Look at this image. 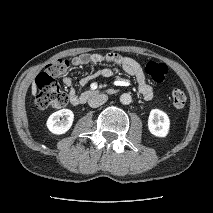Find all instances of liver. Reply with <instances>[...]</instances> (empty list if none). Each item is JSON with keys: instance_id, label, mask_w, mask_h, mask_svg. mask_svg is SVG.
Instances as JSON below:
<instances>
[{"instance_id": "6515ba94", "label": "liver", "mask_w": 213, "mask_h": 213, "mask_svg": "<svg viewBox=\"0 0 213 213\" xmlns=\"http://www.w3.org/2000/svg\"><path fill=\"white\" fill-rule=\"evenodd\" d=\"M36 92H37V87H36V85L33 83V84H32V95L35 96V95H36Z\"/></svg>"}]
</instances>
